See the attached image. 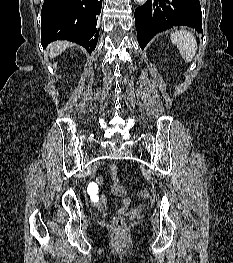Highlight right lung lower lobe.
<instances>
[{
	"label": "right lung lower lobe",
	"mask_w": 233,
	"mask_h": 263,
	"mask_svg": "<svg viewBox=\"0 0 233 263\" xmlns=\"http://www.w3.org/2000/svg\"><path fill=\"white\" fill-rule=\"evenodd\" d=\"M102 0H44L41 10V44L68 40L82 45L89 53L97 44V19Z\"/></svg>",
	"instance_id": "1"
}]
</instances>
